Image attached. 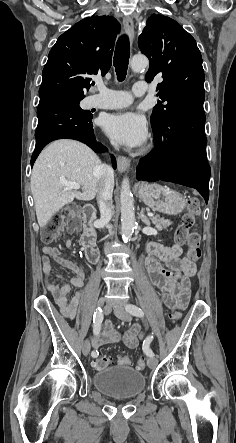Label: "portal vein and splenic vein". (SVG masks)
I'll list each match as a JSON object with an SVG mask.
<instances>
[{"mask_svg": "<svg viewBox=\"0 0 236 443\" xmlns=\"http://www.w3.org/2000/svg\"><path fill=\"white\" fill-rule=\"evenodd\" d=\"M60 182H61L62 185L65 186V188H66L67 190H71V189L79 190V189L81 188L80 184H78V183H76V182L68 181V180H66V179H64V178H61V179H60ZM147 215H148L149 217H153V216H154V214L151 213V212H148Z\"/></svg>", "mask_w": 236, "mask_h": 443, "instance_id": "18ae733b", "label": "portal vein and splenic vein"}]
</instances>
